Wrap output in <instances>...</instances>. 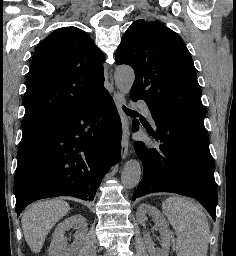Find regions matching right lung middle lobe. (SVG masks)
<instances>
[{"instance_id":"dd1d6c3e","label":"right lung middle lobe","mask_w":236,"mask_h":256,"mask_svg":"<svg viewBox=\"0 0 236 256\" xmlns=\"http://www.w3.org/2000/svg\"><path fill=\"white\" fill-rule=\"evenodd\" d=\"M55 120L52 119H35L23 121L22 123V138L28 137L44 127L50 125Z\"/></svg>"}]
</instances>
